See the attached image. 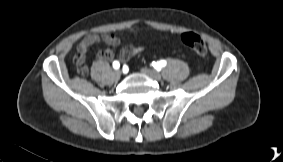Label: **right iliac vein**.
I'll list each match as a JSON object with an SVG mask.
<instances>
[{
    "instance_id": "1",
    "label": "right iliac vein",
    "mask_w": 283,
    "mask_h": 162,
    "mask_svg": "<svg viewBox=\"0 0 283 162\" xmlns=\"http://www.w3.org/2000/svg\"><path fill=\"white\" fill-rule=\"evenodd\" d=\"M114 78L119 79L121 77V70L117 69L113 72Z\"/></svg>"
}]
</instances>
